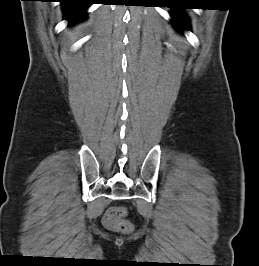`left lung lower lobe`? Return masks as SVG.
Wrapping results in <instances>:
<instances>
[{"label":"left lung lower lobe","instance_id":"obj_1","mask_svg":"<svg viewBox=\"0 0 259 266\" xmlns=\"http://www.w3.org/2000/svg\"><path fill=\"white\" fill-rule=\"evenodd\" d=\"M178 8L180 7H176L172 13L173 23L179 30L188 29V20L180 11H178Z\"/></svg>","mask_w":259,"mask_h":266}]
</instances>
